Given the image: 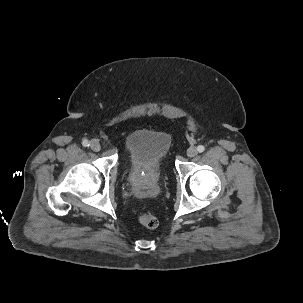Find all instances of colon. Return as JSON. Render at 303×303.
<instances>
[{"label":"colon","instance_id":"1","mask_svg":"<svg viewBox=\"0 0 303 303\" xmlns=\"http://www.w3.org/2000/svg\"><path fill=\"white\" fill-rule=\"evenodd\" d=\"M138 220L143 226L150 229L156 228L159 225L158 217L149 211H141L138 214Z\"/></svg>","mask_w":303,"mask_h":303}]
</instances>
